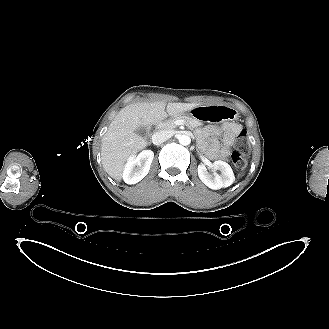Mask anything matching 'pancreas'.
Returning <instances> with one entry per match:
<instances>
[{
    "label": "pancreas",
    "instance_id": "cf45deb5",
    "mask_svg": "<svg viewBox=\"0 0 329 329\" xmlns=\"http://www.w3.org/2000/svg\"><path fill=\"white\" fill-rule=\"evenodd\" d=\"M178 121H181L182 123L187 124L191 127H197L199 124L198 120L195 118L186 115H180L166 120L162 123V127L165 129H174L177 125L176 122Z\"/></svg>",
    "mask_w": 329,
    "mask_h": 329
}]
</instances>
